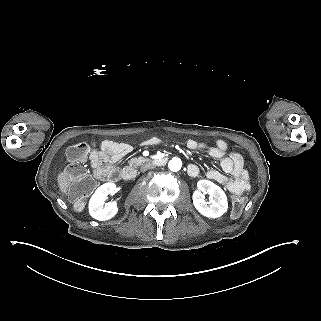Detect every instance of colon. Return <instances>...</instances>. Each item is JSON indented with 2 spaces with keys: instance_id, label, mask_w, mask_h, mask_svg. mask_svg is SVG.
Listing matches in <instances>:
<instances>
[{
  "instance_id": "5ec220e1",
  "label": "colon",
  "mask_w": 321,
  "mask_h": 321,
  "mask_svg": "<svg viewBox=\"0 0 321 321\" xmlns=\"http://www.w3.org/2000/svg\"><path fill=\"white\" fill-rule=\"evenodd\" d=\"M91 152V146L87 143H78L71 146L66 152L67 166L65 173L70 179L69 193L75 206L81 208L85 199L94 188V181L83 168V162ZM246 204V195L234 196L232 200V216L238 217Z\"/></svg>"
}]
</instances>
